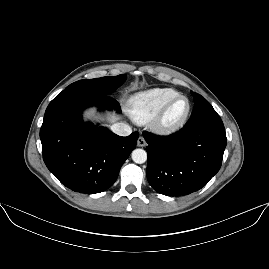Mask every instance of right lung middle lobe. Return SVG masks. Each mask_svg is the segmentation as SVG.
<instances>
[{
    "mask_svg": "<svg viewBox=\"0 0 269 269\" xmlns=\"http://www.w3.org/2000/svg\"><path fill=\"white\" fill-rule=\"evenodd\" d=\"M125 80L126 76L123 74L95 79H84L70 84L64 91L80 90L91 94L110 95Z\"/></svg>",
    "mask_w": 269,
    "mask_h": 269,
    "instance_id": "dd1d6c3e",
    "label": "right lung middle lobe"
}]
</instances>
